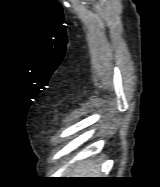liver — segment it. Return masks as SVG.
<instances>
[{
    "label": "liver",
    "mask_w": 160,
    "mask_h": 187,
    "mask_svg": "<svg viewBox=\"0 0 160 187\" xmlns=\"http://www.w3.org/2000/svg\"><path fill=\"white\" fill-rule=\"evenodd\" d=\"M99 176V167L96 166L92 161L80 163L67 172V177L98 178Z\"/></svg>",
    "instance_id": "obj_1"
}]
</instances>
